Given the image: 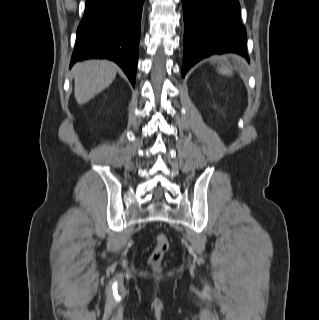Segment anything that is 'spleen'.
<instances>
[{"mask_svg":"<svg viewBox=\"0 0 319 320\" xmlns=\"http://www.w3.org/2000/svg\"><path fill=\"white\" fill-rule=\"evenodd\" d=\"M218 70L223 75H232V70L228 66L222 65Z\"/></svg>","mask_w":319,"mask_h":320,"instance_id":"1","label":"spleen"}]
</instances>
